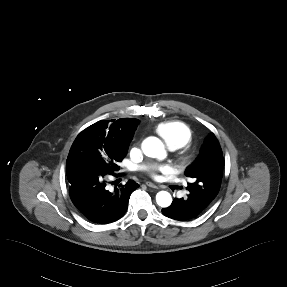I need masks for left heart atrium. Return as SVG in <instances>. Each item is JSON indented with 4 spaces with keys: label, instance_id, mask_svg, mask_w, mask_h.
Returning <instances> with one entry per match:
<instances>
[{
    "label": "left heart atrium",
    "instance_id": "39dd6f15",
    "mask_svg": "<svg viewBox=\"0 0 287 287\" xmlns=\"http://www.w3.org/2000/svg\"><path fill=\"white\" fill-rule=\"evenodd\" d=\"M152 178L158 180L161 174L168 175L173 173V168L167 164L151 166L147 169Z\"/></svg>",
    "mask_w": 287,
    "mask_h": 287
}]
</instances>
